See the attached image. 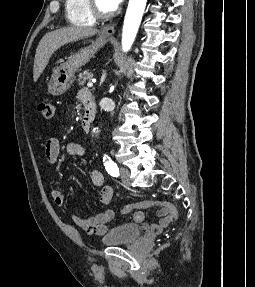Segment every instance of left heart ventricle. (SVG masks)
Here are the masks:
<instances>
[{"label": "left heart ventricle", "mask_w": 255, "mask_h": 287, "mask_svg": "<svg viewBox=\"0 0 255 287\" xmlns=\"http://www.w3.org/2000/svg\"><path fill=\"white\" fill-rule=\"evenodd\" d=\"M116 39H123V38H116ZM111 48H128V47H111Z\"/></svg>", "instance_id": "left-heart-ventricle-1"}]
</instances>
